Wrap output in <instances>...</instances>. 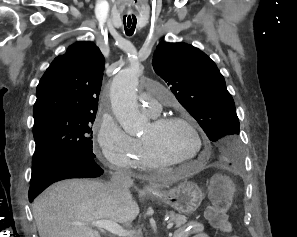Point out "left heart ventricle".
<instances>
[{"instance_id":"b2bd125f","label":"left heart ventricle","mask_w":297,"mask_h":237,"mask_svg":"<svg viewBox=\"0 0 297 237\" xmlns=\"http://www.w3.org/2000/svg\"><path fill=\"white\" fill-rule=\"evenodd\" d=\"M141 139H148L172 160L192 157L198 149L197 141L191 130L184 124L172 123L155 128L152 121L144 130Z\"/></svg>"}]
</instances>
